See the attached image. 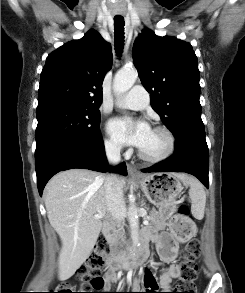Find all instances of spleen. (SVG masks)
I'll return each instance as SVG.
<instances>
[{"label": "spleen", "mask_w": 245, "mask_h": 293, "mask_svg": "<svg viewBox=\"0 0 245 293\" xmlns=\"http://www.w3.org/2000/svg\"><path fill=\"white\" fill-rule=\"evenodd\" d=\"M187 183L190 185L189 196L191 199L192 215L201 220L204 217L206 205V193L203 185L195 178H188Z\"/></svg>", "instance_id": "spleen-1"}]
</instances>
